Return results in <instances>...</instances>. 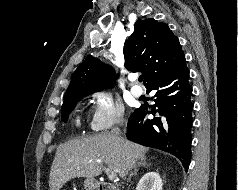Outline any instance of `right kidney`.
<instances>
[{
  "instance_id": "obj_1",
  "label": "right kidney",
  "mask_w": 238,
  "mask_h": 190,
  "mask_svg": "<svg viewBox=\"0 0 238 190\" xmlns=\"http://www.w3.org/2000/svg\"><path fill=\"white\" fill-rule=\"evenodd\" d=\"M136 190H162V179L157 172H148L139 180Z\"/></svg>"
}]
</instances>
